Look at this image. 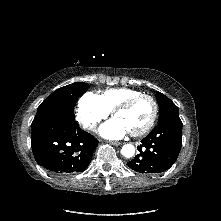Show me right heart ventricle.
Wrapping results in <instances>:
<instances>
[{
  "label": "right heart ventricle",
  "instance_id": "obj_1",
  "mask_svg": "<svg viewBox=\"0 0 221 221\" xmlns=\"http://www.w3.org/2000/svg\"><path fill=\"white\" fill-rule=\"evenodd\" d=\"M141 94L140 91L131 89V88H111L105 90L101 95V99L104 102L105 106L110 110H114L123 101Z\"/></svg>",
  "mask_w": 221,
  "mask_h": 221
}]
</instances>
